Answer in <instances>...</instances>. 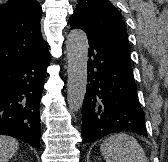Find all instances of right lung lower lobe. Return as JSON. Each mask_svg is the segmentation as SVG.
I'll return each instance as SVG.
<instances>
[{
    "mask_svg": "<svg viewBox=\"0 0 168 162\" xmlns=\"http://www.w3.org/2000/svg\"><path fill=\"white\" fill-rule=\"evenodd\" d=\"M49 59L46 52L0 72V134L35 148L40 144L39 103Z\"/></svg>",
    "mask_w": 168,
    "mask_h": 162,
    "instance_id": "obj_1",
    "label": "right lung lower lobe"
}]
</instances>
